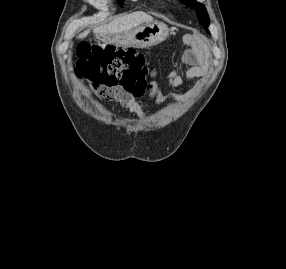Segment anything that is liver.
Returning <instances> with one entry per match:
<instances>
[{"label": "liver", "mask_w": 286, "mask_h": 269, "mask_svg": "<svg viewBox=\"0 0 286 269\" xmlns=\"http://www.w3.org/2000/svg\"><path fill=\"white\" fill-rule=\"evenodd\" d=\"M153 22V17L144 12H134L127 15L119 16L106 25H101L93 29L94 34L98 35H115L128 32L133 28L144 23ZM90 30L81 33L78 38L82 39L89 34Z\"/></svg>", "instance_id": "1"}]
</instances>
